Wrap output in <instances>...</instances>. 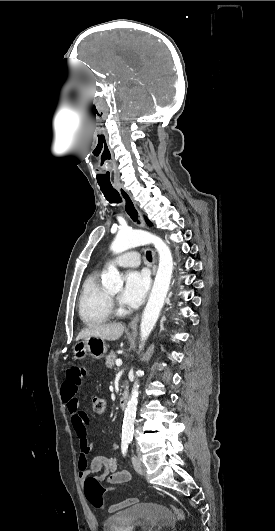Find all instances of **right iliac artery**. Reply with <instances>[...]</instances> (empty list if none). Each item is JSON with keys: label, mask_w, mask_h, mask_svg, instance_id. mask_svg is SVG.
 Segmentation results:
<instances>
[{"label": "right iliac artery", "mask_w": 275, "mask_h": 531, "mask_svg": "<svg viewBox=\"0 0 275 531\" xmlns=\"http://www.w3.org/2000/svg\"><path fill=\"white\" fill-rule=\"evenodd\" d=\"M128 443H129L128 440H122V442H121V450H122V454L124 456L126 455V452H127V449H128Z\"/></svg>", "instance_id": "obj_1"}]
</instances>
